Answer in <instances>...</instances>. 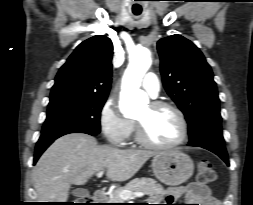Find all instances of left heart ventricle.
<instances>
[{"instance_id":"1","label":"left heart ventricle","mask_w":253,"mask_h":205,"mask_svg":"<svg viewBox=\"0 0 253 205\" xmlns=\"http://www.w3.org/2000/svg\"><path fill=\"white\" fill-rule=\"evenodd\" d=\"M135 119L142 123L148 139L156 144H171L181 135L179 119L170 109L153 110L148 105Z\"/></svg>"}]
</instances>
